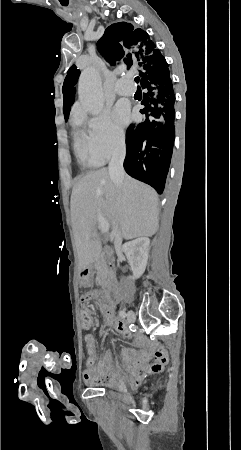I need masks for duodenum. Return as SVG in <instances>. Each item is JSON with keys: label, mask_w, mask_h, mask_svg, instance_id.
Listing matches in <instances>:
<instances>
[{"label": "duodenum", "mask_w": 241, "mask_h": 450, "mask_svg": "<svg viewBox=\"0 0 241 450\" xmlns=\"http://www.w3.org/2000/svg\"><path fill=\"white\" fill-rule=\"evenodd\" d=\"M108 268L110 272L105 281L106 295L111 301L115 302L119 298V290L117 282L111 272L113 268L112 262L108 263ZM80 277L82 284L84 285L88 284L92 277V270L90 268H84L80 273Z\"/></svg>", "instance_id": "410a0bca"}]
</instances>
